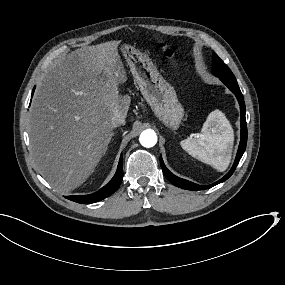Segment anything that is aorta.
I'll return each instance as SVG.
<instances>
[{
  "mask_svg": "<svg viewBox=\"0 0 285 285\" xmlns=\"http://www.w3.org/2000/svg\"><path fill=\"white\" fill-rule=\"evenodd\" d=\"M140 144L145 148L154 147L157 143V135L154 130H144L139 137Z\"/></svg>",
  "mask_w": 285,
  "mask_h": 285,
  "instance_id": "aorta-1",
  "label": "aorta"
}]
</instances>
